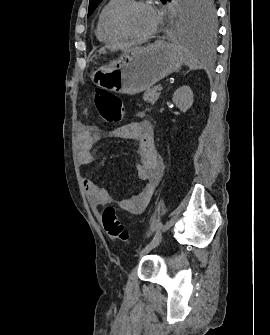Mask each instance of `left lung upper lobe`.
Returning a JSON list of instances; mask_svg holds the SVG:
<instances>
[{
	"label": "left lung upper lobe",
	"mask_w": 270,
	"mask_h": 335,
	"mask_svg": "<svg viewBox=\"0 0 270 335\" xmlns=\"http://www.w3.org/2000/svg\"><path fill=\"white\" fill-rule=\"evenodd\" d=\"M102 0H90L88 17ZM166 3L167 0H161ZM182 16L185 25L194 31L212 33L215 30V9L212 0H183Z\"/></svg>",
	"instance_id": "obj_1"
}]
</instances>
